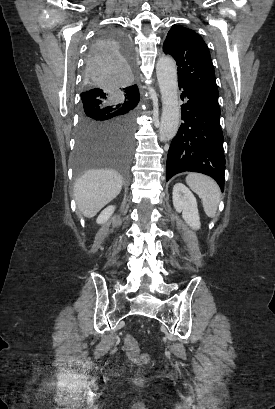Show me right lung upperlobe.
<instances>
[{"label":"right lung upper lobe","mask_w":275,"mask_h":409,"mask_svg":"<svg viewBox=\"0 0 275 409\" xmlns=\"http://www.w3.org/2000/svg\"><path fill=\"white\" fill-rule=\"evenodd\" d=\"M124 92H125V97L139 99L138 88L136 85L125 87Z\"/></svg>","instance_id":"right-lung-upper-lobe-1"}]
</instances>
